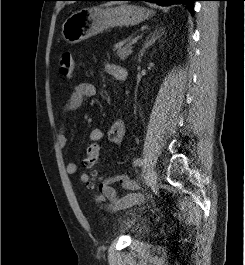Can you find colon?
<instances>
[{
  "instance_id": "obj_1",
  "label": "colon",
  "mask_w": 245,
  "mask_h": 265,
  "mask_svg": "<svg viewBox=\"0 0 245 265\" xmlns=\"http://www.w3.org/2000/svg\"><path fill=\"white\" fill-rule=\"evenodd\" d=\"M59 72L65 78H71L75 72V62L70 53H63L59 58ZM99 145L97 143H89L83 158L82 164L84 167L91 169L95 176L97 173L94 170L99 159ZM94 187V184H91ZM97 200H101V195L97 196Z\"/></svg>"
}]
</instances>
